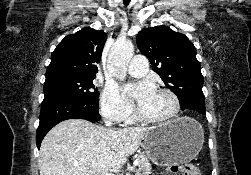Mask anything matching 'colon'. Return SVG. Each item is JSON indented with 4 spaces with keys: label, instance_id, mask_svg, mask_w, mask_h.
Masks as SVG:
<instances>
[{
    "label": "colon",
    "instance_id": "5ec220e1",
    "mask_svg": "<svg viewBox=\"0 0 251 175\" xmlns=\"http://www.w3.org/2000/svg\"><path fill=\"white\" fill-rule=\"evenodd\" d=\"M171 175H201L199 167L193 163H178L166 168Z\"/></svg>",
    "mask_w": 251,
    "mask_h": 175
}]
</instances>
